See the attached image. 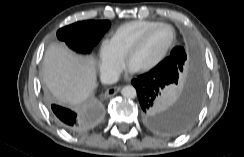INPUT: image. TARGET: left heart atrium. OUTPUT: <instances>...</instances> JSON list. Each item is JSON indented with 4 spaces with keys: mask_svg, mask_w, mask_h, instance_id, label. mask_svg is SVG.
Returning a JSON list of instances; mask_svg holds the SVG:
<instances>
[{
    "mask_svg": "<svg viewBox=\"0 0 244 157\" xmlns=\"http://www.w3.org/2000/svg\"><path fill=\"white\" fill-rule=\"evenodd\" d=\"M127 70H128V72L132 73V72H135L137 69L134 68L133 66L129 65Z\"/></svg>",
    "mask_w": 244,
    "mask_h": 157,
    "instance_id": "left-heart-atrium-1",
    "label": "left heart atrium"
}]
</instances>
